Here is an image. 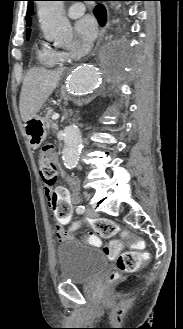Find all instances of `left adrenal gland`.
I'll list each match as a JSON object with an SVG mask.
<instances>
[{
	"label": "left adrenal gland",
	"mask_w": 183,
	"mask_h": 329,
	"mask_svg": "<svg viewBox=\"0 0 183 329\" xmlns=\"http://www.w3.org/2000/svg\"><path fill=\"white\" fill-rule=\"evenodd\" d=\"M66 116H67V113H65L64 117H66Z\"/></svg>",
	"instance_id": "obj_1"
}]
</instances>
